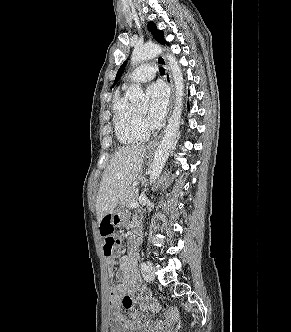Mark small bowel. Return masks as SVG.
Wrapping results in <instances>:
<instances>
[{"mask_svg":"<svg viewBox=\"0 0 291 332\" xmlns=\"http://www.w3.org/2000/svg\"><path fill=\"white\" fill-rule=\"evenodd\" d=\"M135 263L136 255L133 251L130 256L119 257L116 273L118 284L109 293L111 332H165L169 323L175 320L176 314L168 310L164 320L150 323L145 311L157 312L161 307L146 296ZM107 268L108 273L112 274L113 261H107Z\"/></svg>","mask_w":291,"mask_h":332,"instance_id":"obj_1","label":"small bowel"}]
</instances>
